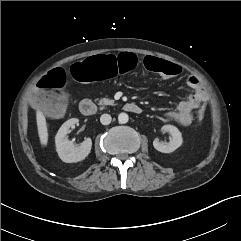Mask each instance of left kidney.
I'll return each mask as SVG.
<instances>
[{"label": "left kidney", "instance_id": "1", "mask_svg": "<svg viewBox=\"0 0 241 241\" xmlns=\"http://www.w3.org/2000/svg\"><path fill=\"white\" fill-rule=\"evenodd\" d=\"M161 130L163 132H169L172 138L168 143L161 142L158 138H155L153 141V146L157 151L162 153H171L182 145V134L177 127L173 125H164Z\"/></svg>", "mask_w": 241, "mask_h": 241}]
</instances>
